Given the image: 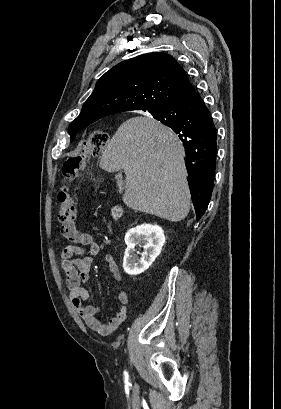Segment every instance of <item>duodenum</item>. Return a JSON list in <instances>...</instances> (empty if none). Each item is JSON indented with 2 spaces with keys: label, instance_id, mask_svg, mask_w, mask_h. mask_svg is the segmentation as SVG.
<instances>
[{
  "label": "duodenum",
  "instance_id": "obj_1",
  "mask_svg": "<svg viewBox=\"0 0 281 409\" xmlns=\"http://www.w3.org/2000/svg\"><path fill=\"white\" fill-rule=\"evenodd\" d=\"M112 214L115 218H118L121 216V208L120 207H115L112 211Z\"/></svg>",
  "mask_w": 281,
  "mask_h": 409
}]
</instances>
